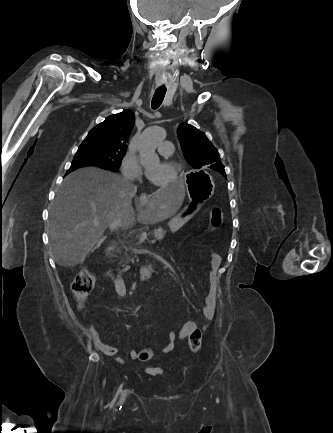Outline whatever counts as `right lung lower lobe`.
Segmentation results:
<instances>
[{
	"instance_id": "obj_1",
	"label": "right lung lower lobe",
	"mask_w": 333,
	"mask_h": 433,
	"mask_svg": "<svg viewBox=\"0 0 333 433\" xmlns=\"http://www.w3.org/2000/svg\"><path fill=\"white\" fill-rule=\"evenodd\" d=\"M89 165H94V164H86V163H84V164H74V163H72L70 169L67 172V174L70 173L71 171H73L74 169H77V168L82 167V166H89ZM96 166H98V165H96ZM100 167H102V166H100ZM103 168H105V167H103Z\"/></svg>"
}]
</instances>
